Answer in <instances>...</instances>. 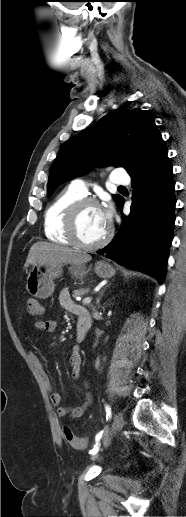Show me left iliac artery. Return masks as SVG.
I'll return each instance as SVG.
<instances>
[{
    "mask_svg": "<svg viewBox=\"0 0 186 517\" xmlns=\"http://www.w3.org/2000/svg\"><path fill=\"white\" fill-rule=\"evenodd\" d=\"M105 411H106V417L107 420L111 418V407L109 405H105ZM102 437V432L98 433L95 437L96 444L94 445L93 449L90 450V454L94 455L98 452L100 447V439Z\"/></svg>",
    "mask_w": 186,
    "mask_h": 517,
    "instance_id": "left-iliac-artery-1",
    "label": "left iliac artery"
}]
</instances>
